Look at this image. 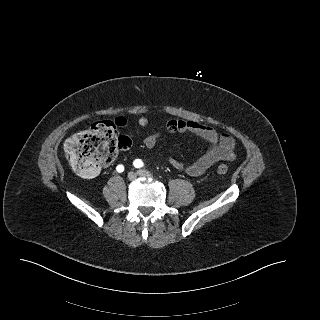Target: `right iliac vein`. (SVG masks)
<instances>
[{
  "label": "right iliac vein",
  "mask_w": 320,
  "mask_h": 320,
  "mask_svg": "<svg viewBox=\"0 0 320 320\" xmlns=\"http://www.w3.org/2000/svg\"><path fill=\"white\" fill-rule=\"evenodd\" d=\"M136 178H137L136 173H134V172H129V173H128V179H129L130 181H134Z\"/></svg>",
  "instance_id": "right-iliac-vein-1"
}]
</instances>
